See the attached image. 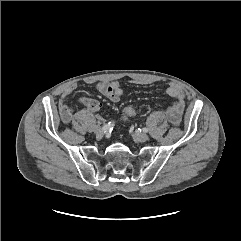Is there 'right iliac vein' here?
<instances>
[{
    "label": "right iliac vein",
    "instance_id": "63e3f726",
    "mask_svg": "<svg viewBox=\"0 0 241 241\" xmlns=\"http://www.w3.org/2000/svg\"><path fill=\"white\" fill-rule=\"evenodd\" d=\"M94 133H95L97 136H103L105 132H104V130H103L101 127L97 126V127H95V129H94Z\"/></svg>",
    "mask_w": 241,
    "mask_h": 241
}]
</instances>
